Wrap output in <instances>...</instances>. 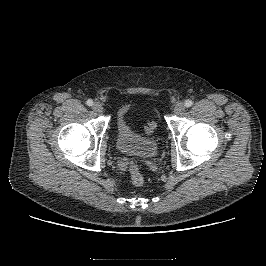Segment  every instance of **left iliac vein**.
I'll return each mask as SVG.
<instances>
[{"mask_svg":"<svg viewBox=\"0 0 266 266\" xmlns=\"http://www.w3.org/2000/svg\"><path fill=\"white\" fill-rule=\"evenodd\" d=\"M185 110V104L183 102H179L174 107V112L176 114H181Z\"/></svg>","mask_w":266,"mask_h":266,"instance_id":"4c4485c4","label":"left iliac vein"}]
</instances>
